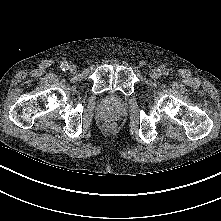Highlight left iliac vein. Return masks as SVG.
Listing matches in <instances>:
<instances>
[{"label": "left iliac vein", "mask_w": 221, "mask_h": 221, "mask_svg": "<svg viewBox=\"0 0 221 221\" xmlns=\"http://www.w3.org/2000/svg\"><path fill=\"white\" fill-rule=\"evenodd\" d=\"M150 76H151L152 79H158L161 76V71L159 69H157V68H154L151 71Z\"/></svg>", "instance_id": "1"}]
</instances>
